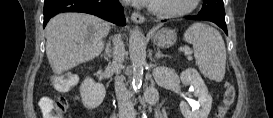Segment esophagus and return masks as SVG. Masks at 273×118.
<instances>
[{"instance_id":"1","label":"esophagus","mask_w":273,"mask_h":118,"mask_svg":"<svg viewBox=\"0 0 273 118\" xmlns=\"http://www.w3.org/2000/svg\"><path fill=\"white\" fill-rule=\"evenodd\" d=\"M131 19L132 21L136 23H140V24L145 22L144 16H142L140 13H137V12H133L131 14Z\"/></svg>"}]
</instances>
